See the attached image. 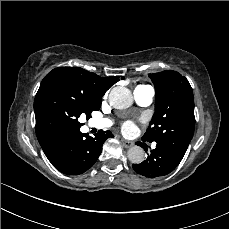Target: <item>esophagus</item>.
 <instances>
[{"label": "esophagus", "mask_w": 229, "mask_h": 229, "mask_svg": "<svg viewBox=\"0 0 229 229\" xmlns=\"http://www.w3.org/2000/svg\"><path fill=\"white\" fill-rule=\"evenodd\" d=\"M121 143L125 148H130L134 145V142L126 140V139H121Z\"/></svg>", "instance_id": "34e87169"}]
</instances>
